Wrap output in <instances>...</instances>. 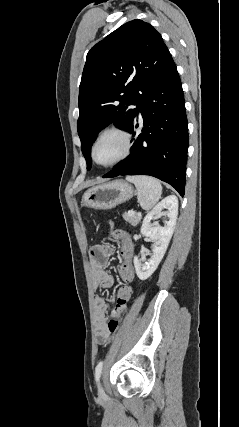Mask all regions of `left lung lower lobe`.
<instances>
[{"label": "left lung lower lobe", "instance_id": "left-lung-lower-lobe-1", "mask_svg": "<svg viewBox=\"0 0 239 427\" xmlns=\"http://www.w3.org/2000/svg\"><path fill=\"white\" fill-rule=\"evenodd\" d=\"M139 113L143 119L140 134L137 133ZM127 131L136 136L131 154L103 178L150 175L170 184L183 196L188 122L175 64L145 92Z\"/></svg>", "mask_w": 239, "mask_h": 427}]
</instances>
